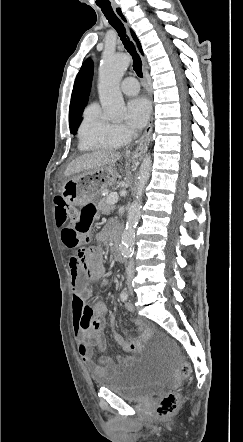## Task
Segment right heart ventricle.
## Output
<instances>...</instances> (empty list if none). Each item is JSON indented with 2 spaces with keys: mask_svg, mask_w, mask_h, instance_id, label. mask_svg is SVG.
Wrapping results in <instances>:
<instances>
[{
  "mask_svg": "<svg viewBox=\"0 0 243 442\" xmlns=\"http://www.w3.org/2000/svg\"><path fill=\"white\" fill-rule=\"evenodd\" d=\"M78 139L81 151L116 148L121 144L113 125L102 116L97 104H91L85 109Z\"/></svg>",
  "mask_w": 243,
  "mask_h": 442,
  "instance_id": "e07e8e85",
  "label": "right heart ventricle"
}]
</instances>
